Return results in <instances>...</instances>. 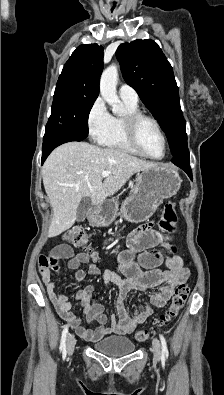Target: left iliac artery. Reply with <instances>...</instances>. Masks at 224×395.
Listing matches in <instances>:
<instances>
[{"label":"left iliac artery","mask_w":224,"mask_h":395,"mask_svg":"<svg viewBox=\"0 0 224 395\" xmlns=\"http://www.w3.org/2000/svg\"><path fill=\"white\" fill-rule=\"evenodd\" d=\"M160 340H161V345H162V358L165 359L168 356V349H167V343L162 334H159Z\"/></svg>","instance_id":"44dca946"}]
</instances>
